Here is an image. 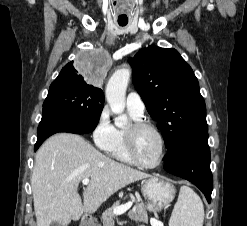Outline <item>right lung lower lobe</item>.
Listing matches in <instances>:
<instances>
[{
	"instance_id": "98d812e1",
	"label": "right lung lower lobe",
	"mask_w": 247,
	"mask_h": 226,
	"mask_svg": "<svg viewBox=\"0 0 247 226\" xmlns=\"http://www.w3.org/2000/svg\"><path fill=\"white\" fill-rule=\"evenodd\" d=\"M96 126L97 124H94L93 122H80L56 114L42 117V120L38 126V139L35 144V151L46 138L54 133L69 132L75 134H85L93 131Z\"/></svg>"
}]
</instances>
